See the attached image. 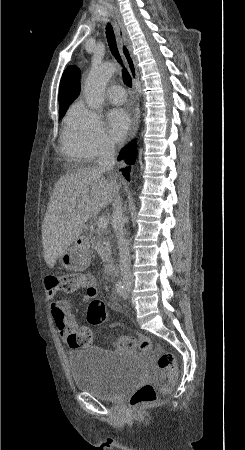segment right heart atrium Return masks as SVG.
I'll return each mask as SVG.
<instances>
[{
  "label": "right heart atrium",
  "mask_w": 245,
  "mask_h": 450,
  "mask_svg": "<svg viewBox=\"0 0 245 450\" xmlns=\"http://www.w3.org/2000/svg\"><path fill=\"white\" fill-rule=\"evenodd\" d=\"M64 152L78 160L91 161L110 154L114 143L97 113L83 102L75 103L65 119Z\"/></svg>",
  "instance_id": "obj_1"
}]
</instances>
